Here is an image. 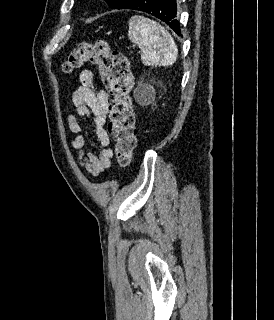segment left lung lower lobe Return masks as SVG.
Segmentation results:
<instances>
[{"label": "left lung lower lobe", "mask_w": 274, "mask_h": 320, "mask_svg": "<svg viewBox=\"0 0 274 320\" xmlns=\"http://www.w3.org/2000/svg\"><path fill=\"white\" fill-rule=\"evenodd\" d=\"M123 9L147 12L165 22L178 35L181 33L177 19L176 0H132Z\"/></svg>", "instance_id": "0a47b994"}]
</instances>
